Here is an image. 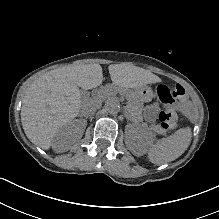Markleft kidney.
Segmentation results:
<instances>
[{
    "label": "left kidney",
    "mask_w": 219,
    "mask_h": 219,
    "mask_svg": "<svg viewBox=\"0 0 219 219\" xmlns=\"http://www.w3.org/2000/svg\"><path fill=\"white\" fill-rule=\"evenodd\" d=\"M136 138H137V144L140 143L141 146H144L148 142L149 143L156 142L157 134L156 133L137 132Z\"/></svg>",
    "instance_id": "5707ae66"
}]
</instances>
